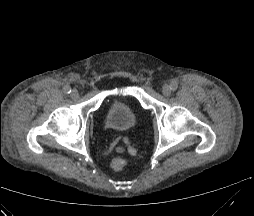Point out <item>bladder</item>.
<instances>
[{
	"label": "bladder",
	"mask_w": 254,
	"mask_h": 216,
	"mask_svg": "<svg viewBox=\"0 0 254 216\" xmlns=\"http://www.w3.org/2000/svg\"><path fill=\"white\" fill-rule=\"evenodd\" d=\"M137 110L133 101L124 98L109 99L106 112V125L119 132L130 129L136 122Z\"/></svg>",
	"instance_id": "1"
}]
</instances>
